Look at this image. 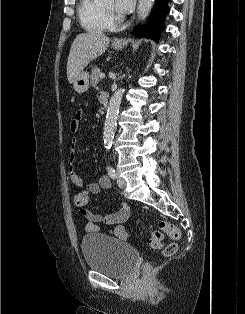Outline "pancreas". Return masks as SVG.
Wrapping results in <instances>:
<instances>
[{"label": "pancreas", "instance_id": "obj_1", "mask_svg": "<svg viewBox=\"0 0 245 314\" xmlns=\"http://www.w3.org/2000/svg\"><path fill=\"white\" fill-rule=\"evenodd\" d=\"M99 75H100V69L98 67L93 68L90 75L92 86L97 85V83L100 81Z\"/></svg>", "mask_w": 245, "mask_h": 314}]
</instances>
